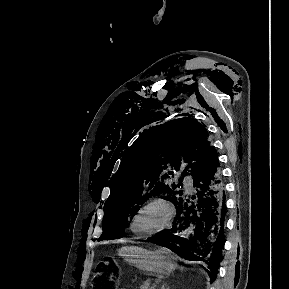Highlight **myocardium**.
<instances>
[{
  "mask_svg": "<svg viewBox=\"0 0 289 289\" xmlns=\"http://www.w3.org/2000/svg\"><path fill=\"white\" fill-rule=\"evenodd\" d=\"M153 205H158V206H161L163 207L166 212H167V218H166V221L165 223L154 229V230H151V231H148V232H143V231H140L136 228V222H137V219L139 218V216L142 214V212L144 210H146L147 208L153 206ZM174 217H175V209H174V206L172 205V203L170 201H168L167 199L165 198H162V197H155V198H152L148 201H146L138 210L137 212L135 213V215L133 216L132 218V221H131V224H130V228L131 230L138 234V235H141V236H152V235H155L161 231H164L166 229H168L171 225H172V222L174 220Z\"/></svg>",
  "mask_w": 289,
  "mask_h": 289,
  "instance_id": "f54148a6",
  "label": "myocardium"
}]
</instances>
